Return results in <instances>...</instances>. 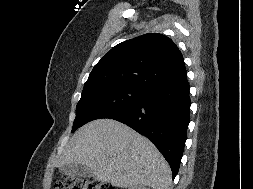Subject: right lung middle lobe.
<instances>
[{
	"label": "right lung middle lobe",
	"instance_id": "dd1d6c3e",
	"mask_svg": "<svg viewBox=\"0 0 253 189\" xmlns=\"http://www.w3.org/2000/svg\"><path fill=\"white\" fill-rule=\"evenodd\" d=\"M146 93L145 90L125 86H107L83 92L76 107L72 133L92 120L105 118L135 104Z\"/></svg>",
	"mask_w": 253,
	"mask_h": 189
}]
</instances>
